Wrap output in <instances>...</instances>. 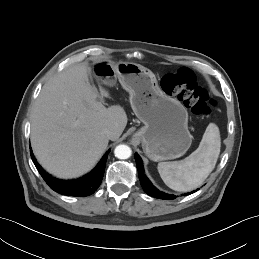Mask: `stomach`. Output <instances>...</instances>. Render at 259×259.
<instances>
[{"label":"stomach","instance_id":"0dacf381","mask_svg":"<svg viewBox=\"0 0 259 259\" xmlns=\"http://www.w3.org/2000/svg\"><path fill=\"white\" fill-rule=\"evenodd\" d=\"M90 73L99 81L113 85L118 78L130 94V104L144 126L134 137L142 143L144 153L153 161L183 156L192 143L186 108L159 87L155 74L132 63L100 60Z\"/></svg>","mask_w":259,"mask_h":259}]
</instances>
